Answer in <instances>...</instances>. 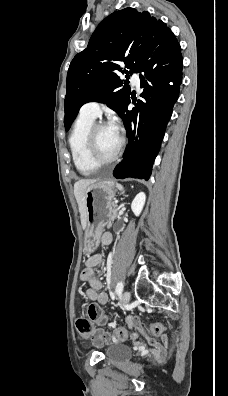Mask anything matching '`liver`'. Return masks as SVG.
<instances>
[{
    "instance_id": "liver-1",
    "label": "liver",
    "mask_w": 228,
    "mask_h": 396,
    "mask_svg": "<svg viewBox=\"0 0 228 396\" xmlns=\"http://www.w3.org/2000/svg\"><path fill=\"white\" fill-rule=\"evenodd\" d=\"M96 182V180L92 179H83L75 182L74 184V195L76 201L78 203L79 212H80V219L82 228L85 229L87 226V214H86V207H85V190L87 186L91 183Z\"/></svg>"
}]
</instances>
